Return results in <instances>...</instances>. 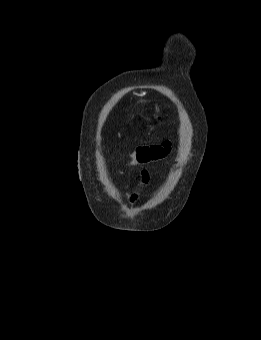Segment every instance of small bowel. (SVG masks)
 Masks as SVG:
<instances>
[{"label":"small bowel","mask_w":261,"mask_h":340,"mask_svg":"<svg viewBox=\"0 0 261 340\" xmlns=\"http://www.w3.org/2000/svg\"><path fill=\"white\" fill-rule=\"evenodd\" d=\"M170 150V141H164L161 144L138 147L127 154L123 162L129 166L139 168L141 174L140 185L130 196L131 202L138 200L139 193L149 181V171L145 168V165L166 157Z\"/></svg>","instance_id":"c3829d8e"}]
</instances>
